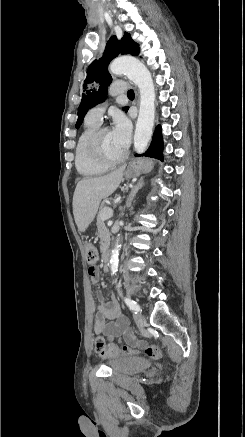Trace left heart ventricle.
I'll list each match as a JSON object with an SVG mask.
<instances>
[{
	"mask_svg": "<svg viewBox=\"0 0 245 437\" xmlns=\"http://www.w3.org/2000/svg\"><path fill=\"white\" fill-rule=\"evenodd\" d=\"M101 148L103 153L109 158H119L124 154V150L117 144L112 132L106 131L101 138Z\"/></svg>",
	"mask_w": 245,
	"mask_h": 437,
	"instance_id": "obj_1",
	"label": "left heart ventricle"
}]
</instances>
